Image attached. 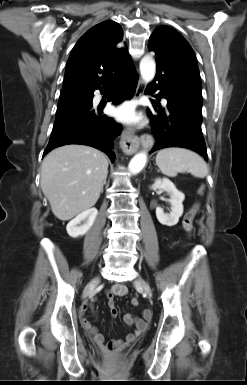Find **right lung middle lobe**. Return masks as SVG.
<instances>
[{"instance_id":"obj_1","label":"right lung middle lobe","mask_w":247,"mask_h":385,"mask_svg":"<svg viewBox=\"0 0 247 385\" xmlns=\"http://www.w3.org/2000/svg\"><path fill=\"white\" fill-rule=\"evenodd\" d=\"M93 91L89 90H67L60 93L57 110L67 108L77 102L91 98Z\"/></svg>"}]
</instances>
